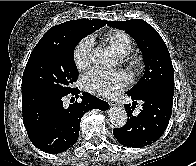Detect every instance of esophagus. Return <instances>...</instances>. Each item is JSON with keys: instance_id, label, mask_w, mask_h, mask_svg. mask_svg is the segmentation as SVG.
<instances>
[{"instance_id": "34e87169", "label": "esophagus", "mask_w": 196, "mask_h": 166, "mask_svg": "<svg viewBox=\"0 0 196 166\" xmlns=\"http://www.w3.org/2000/svg\"><path fill=\"white\" fill-rule=\"evenodd\" d=\"M109 105L111 107H116V106H118V103L116 101L111 100V101H109Z\"/></svg>"}]
</instances>
